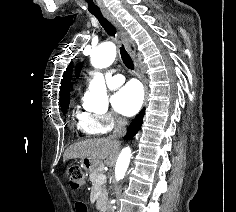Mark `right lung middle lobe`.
Instances as JSON below:
<instances>
[{
    "instance_id": "1",
    "label": "right lung middle lobe",
    "mask_w": 236,
    "mask_h": 212,
    "mask_svg": "<svg viewBox=\"0 0 236 212\" xmlns=\"http://www.w3.org/2000/svg\"><path fill=\"white\" fill-rule=\"evenodd\" d=\"M69 100L70 99H65L63 101L60 102L61 104V109L64 111V113L66 112L68 105H69Z\"/></svg>"
}]
</instances>
